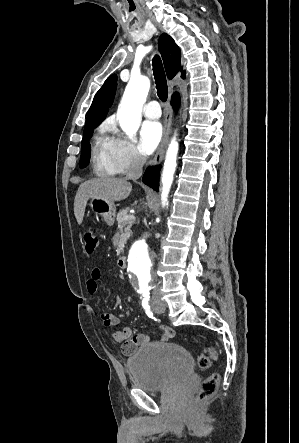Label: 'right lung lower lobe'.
Instances as JSON below:
<instances>
[{
  "mask_svg": "<svg viewBox=\"0 0 299 443\" xmlns=\"http://www.w3.org/2000/svg\"><path fill=\"white\" fill-rule=\"evenodd\" d=\"M172 105L175 109L179 105V95L177 93L172 96ZM160 178V166L148 168L143 176V182L154 190L158 191Z\"/></svg>",
  "mask_w": 299,
  "mask_h": 443,
  "instance_id": "98d812e1",
  "label": "right lung lower lobe"
}]
</instances>
